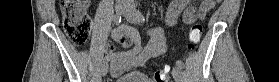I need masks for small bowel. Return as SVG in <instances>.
<instances>
[{
  "mask_svg": "<svg viewBox=\"0 0 279 82\" xmlns=\"http://www.w3.org/2000/svg\"><path fill=\"white\" fill-rule=\"evenodd\" d=\"M193 2V0H173L168 7L166 24L172 26L180 15L186 25L204 20L213 6L205 7V1H202L197 7ZM111 37L113 41L106 45L105 52L110 64V73L114 76L120 74L122 70L142 66L149 59L164 54L167 49L161 28L154 30L151 39L144 47L139 32L128 25L123 24L114 29ZM117 46L123 50H117Z\"/></svg>",
  "mask_w": 279,
  "mask_h": 82,
  "instance_id": "small-bowel-1",
  "label": "small bowel"
}]
</instances>
